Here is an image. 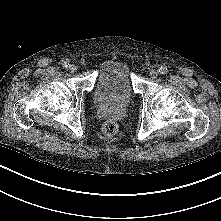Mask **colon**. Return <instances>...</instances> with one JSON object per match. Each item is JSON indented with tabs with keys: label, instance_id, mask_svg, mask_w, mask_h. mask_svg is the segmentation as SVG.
<instances>
[{
	"label": "colon",
	"instance_id": "colon-1",
	"mask_svg": "<svg viewBox=\"0 0 221 221\" xmlns=\"http://www.w3.org/2000/svg\"><path fill=\"white\" fill-rule=\"evenodd\" d=\"M102 131L106 136L112 137L118 132V125L115 121L109 120L104 123Z\"/></svg>",
	"mask_w": 221,
	"mask_h": 221
}]
</instances>
